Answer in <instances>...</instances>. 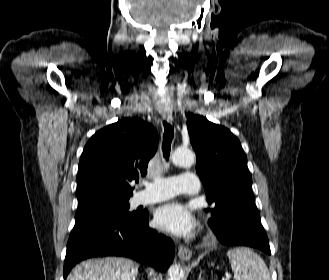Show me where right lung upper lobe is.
<instances>
[{
    "label": "right lung upper lobe",
    "instance_id": "obj_1",
    "mask_svg": "<svg viewBox=\"0 0 329 280\" xmlns=\"http://www.w3.org/2000/svg\"><path fill=\"white\" fill-rule=\"evenodd\" d=\"M155 128L138 118H122L97 131L79 161L78 199L91 196L130 198L132 180L146 173L157 150Z\"/></svg>",
    "mask_w": 329,
    "mask_h": 280
}]
</instances>
